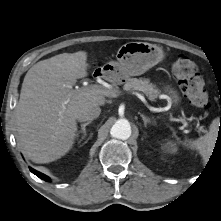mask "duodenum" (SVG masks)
I'll list each match as a JSON object with an SVG mask.
<instances>
[{
    "label": "duodenum",
    "instance_id": "1",
    "mask_svg": "<svg viewBox=\"0 0 221 221\" xmlns=\"http://www.w3.org/2000/svg\"><path fill=\"white\" fill-rule=\"evenodd\" d=\"M103 76H104V72H103L102 69H98V70H96L95 73H94V77H95V78H102Z\"/></svg>",
    "mask_w": 221,
    "mask_h": 221
}]
</instances>
